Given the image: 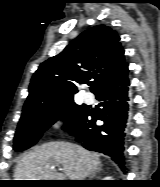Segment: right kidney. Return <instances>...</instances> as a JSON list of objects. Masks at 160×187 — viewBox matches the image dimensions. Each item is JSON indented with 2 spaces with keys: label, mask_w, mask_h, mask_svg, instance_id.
I'll list each match as a JSON object with an SVG mask.
<instances>
[{
  "label": "right kidney",
  "mask_w": 160,
  "mask_h": 187,
  "mask_svg": "<svg viewBox=\"0 0 160 187\" xmlns=\"http://www.w3.org/2000/svg\"><path fill=\"white\" fill-rule=\"evenodd\" d=\"M104 180H112L111 177H106V178H103Z\"/></svg>",
  "instance_id": "right-kidney-1"
}]
</instances>
